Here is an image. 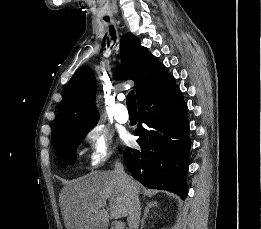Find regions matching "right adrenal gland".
<instances>
[{
  "label": "right adrenal gland",
  "mask_w": 261,
  "mask_h": 229,
  "mask_svg": "<svg viewBox=\"0 0 261 229\" xmlns=\"http://www.w3.org/2000/svg\"><path fill=\"white\" fill-rule=\"evenodd\" d=\"M152 207H157V203H150V205H147V207H146V209L144 211V217H143V219L141 221V225H140L141 229H144L145 221H146V219H147V217H148V215L150 213V209H152Z\"/></svg>",
  "instance_id": "1"
}]
</instances>
